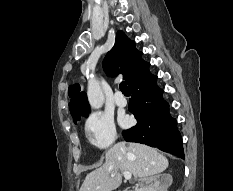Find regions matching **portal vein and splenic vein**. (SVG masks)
I'll return each mask as SVG.
<instances>
[{
  "label": "portal vein and splenic vein",
  "instance_id": "portal-vein-and-splenic-vein-1",
  "mask_svg": "<svg viewBox=\"0 0 233 191\" xmlns=\"http://www.w3.org/2000/svg\"><path fill=\"white\" fill-rule=\"evenodd\" d=\"M125 180H130L132 177V174L130 172H123Z\"/></svg>",
  "mask_w": 233,
  "mask_h": 191
}]
</instances>
